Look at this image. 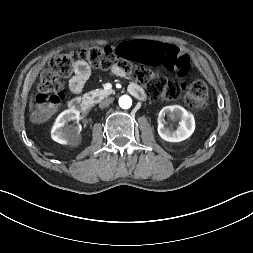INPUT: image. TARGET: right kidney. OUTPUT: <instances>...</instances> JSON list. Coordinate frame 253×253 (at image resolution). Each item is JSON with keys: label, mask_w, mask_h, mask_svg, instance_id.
Listing matches in <instances>:
<instances>
[{"label": "right kidney", "mask_w": 253, "mask_h": 253, "mask_svg": "<svg viewBox=\"0 0 253 253\" xmlns=\"http://www.w3.org/2000/svg\"><path fill=\"white\" fill-rule=\"evenodd\" d=\"M80 112L75 109L63 111L56 119L52 130L51 137L60 144H77L80 140L81 126H68L69 121L78 119Z\"/></svg>", "instance_id": "1"}]
</instances>
